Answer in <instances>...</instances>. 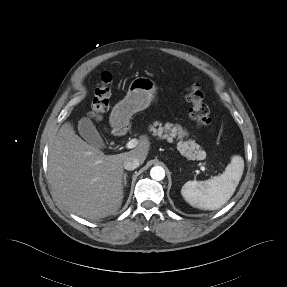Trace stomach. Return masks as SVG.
<instances>
[{"label":"stomach","instance_id":"1","mask_svg":"<svg viewBox=\"0 0 287 287\" xmlns=\"http://www.w3.org/2000/svg\"><path fill=\"white\" fill-rule=\"evenodd\" d=\"M156 90L155 82L148 77L132 80L125 98L113 107L110 114L109 122L114 134L122 132L133 114L149 107Z\"/></svg>","mask_w":287,"mask_h":287}]
</instances>
